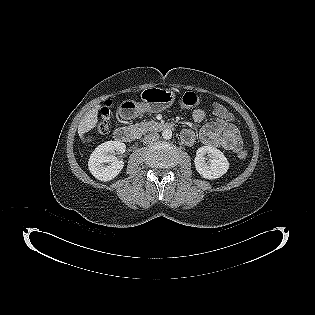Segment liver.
Here are the masks:
<instances>
[{
	"label": "liver",
	"instance_id": "1",
	"mask_svg": "<svg viewBox=\"0 0 315 315\" xmlns=\"http://www.w3.org/2000/svg\"><path fill=\"white\" fill-rule=\"evenodd\" d=\"M100 109V105H97L90 109L86 115L82 118L78 126V133L80 138L84 141V133L92 130L96 127L98 122V110Z\"/></svg>",
	"mask_w": 315,
	"mask_h": 315
}]
</instances>
